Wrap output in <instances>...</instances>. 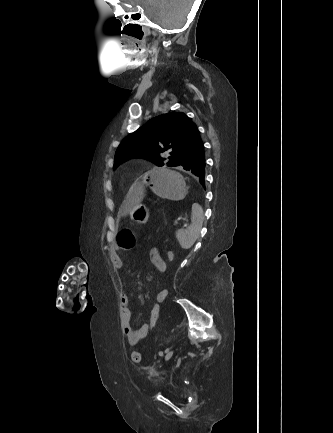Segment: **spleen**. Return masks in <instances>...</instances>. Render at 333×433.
Listing matches in <instances>:
<instances>
[{
  "label": "spleen",
  "instance_id": "spleen-1",
  "mask_svg": "<svg viewBox=\"0 0 333 433\" xmlns=\"http://www.w3.org/2000/svg\"><path fill=\"white\" fill-rule=\"evenodd\" d=\"M191 224L186 229H179L176 233L177 240L184 249H189L197 238L199 237L200 230L203 224V209L198 205L192 207Z\"/></svg>",
  "mask_w": 333,
  "mask_h": 433
}]
</instances>
